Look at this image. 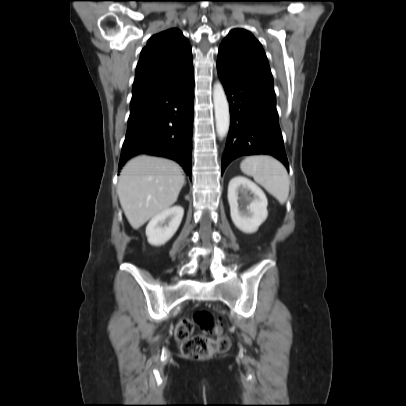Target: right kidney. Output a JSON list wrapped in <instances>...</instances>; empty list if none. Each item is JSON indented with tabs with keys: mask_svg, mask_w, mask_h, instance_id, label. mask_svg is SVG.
I'll return each mask as SVG.
<instances>
[{
	"mask_svg": "<svg viewBox=\"0 0 406 406\" xmlns=\"http://www.w3.org/2000/svg\"><path fill=\"white\" fill-rule=\"evenodd\" d=\"M183 214L181 206H174L153 217L146 227L148 242L160 246L169 241L177 231Z\"/></svg>",
	"mask_w": 406,
	"mask_h": 406,
	"instance_id": "ca27d5eb",
	"label": "right kidney"
}]
</instances>
